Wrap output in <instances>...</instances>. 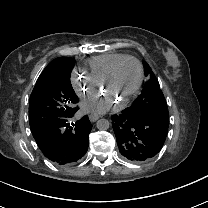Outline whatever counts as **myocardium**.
Wrapping results in <instances>:
<instances>
[{
  "mask_svg": "<svg viewBox=\"0 0 208 208\" xmlns=\"http://www.w3.org/2000/svg\"><path fill=\"white\" fill-rule=\"evenodd\" d=\"M125 60H132L133 62L136 63L137 67H138V72H139V77H138V81L137 84L135 85V87L133 88V90L125 97L120 99V101L118 102L119 106H123L126 103H128L130 101V99H132L140 90V88L142 87L143 81H144V68L142 63L140 62V60L134 56L131 55H124L122 58H120L110 69V71L108 72V74L98 83L99 88L102 90L105 88V86L107 84H109L113 78L114 75L116 73L117 68L119 67V65L125 61Z\"/></svg>",
  "mask_w": 208,
  "mask_h": 208,
  "instance_id": "1",
  "label": "myocardium"
}]
</instances>
